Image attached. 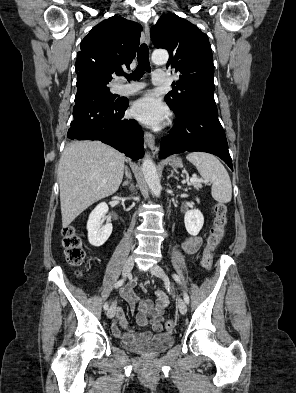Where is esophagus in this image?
<instances>
[{"mask_svg": "<svg viewBox=\"0 0 296 393\" xmlns=\"http://www.w3.org/2000/svg\"><path fill=\"white\" fill-rule=\"evenodd\" d=\"M143 41L146 44L150 43V28L148 25H146L144 28ZM144 140L147 146L151 149L152 153L156 154L158 152V147L156 146L154 135L147 131L145 132Z\"/></svg>", "mask_w": 296, "mask_h": 393, "instance_id": "esophagus-1", "label": "esophagus"}]
</instances>
